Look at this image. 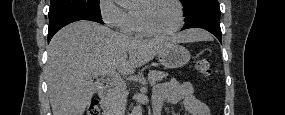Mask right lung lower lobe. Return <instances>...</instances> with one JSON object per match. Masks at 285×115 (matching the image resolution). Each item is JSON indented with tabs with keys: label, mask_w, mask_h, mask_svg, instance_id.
<instances>
[{
	"label": "right lung lower lobe",
	"mask_w": 285,
	"mask_h": 115,
	"mask_svg": "<svg viewBox=\"0 0 285 115\" xmlns=\"http://www.w3.org/2000/svg\"><path fill=\"white\" fill-rule=\"evenodd\" d=\"M79 20H90L95 21L101 24H104V22L101 19V16H96L88 13H67L60 15L58 17H55L51 20H49V30H48V42L51 40L53 35L59 31L62 27L65 25L79 21Z\"/></svg>",
	"instance_id": "obj_1"
}]
</instances>
